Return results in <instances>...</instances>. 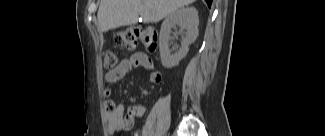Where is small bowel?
Masks as SVG:
<instances>
[{"mask_svg":"<svg viewBox=\"0 0 325 136\" xmlns=\"http://www.w3.org/2000/svg\"><path fill=\"white\" fill-rule=\"evenodd\" d=\"M138 67L149 71L152 83H160L162 79L160 71L155 68L151 57L144 52H135L130 57L122 59L115 69L107 72L105 79L108 83H116ZM105 93L108 95L109 91ZM105 107L107 130L111 135L130 130L134 125L135 118L144 116L146 112L143 105L136 104L127 108L124 103L116 104L112 100L106 101Z\"/></svg>","mask_w":325,"mask_h":136,"instance_id":"c3829d8e","label":"small bowel"}]
</instances>
